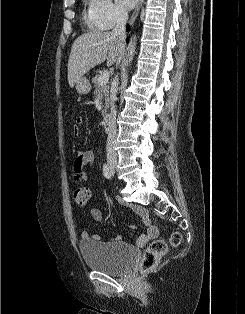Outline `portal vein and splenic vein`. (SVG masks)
Segmentation results:
<instances>
[{
    "instance_id": "1",
    "label": "portal vein and splenic vein",
    "mask_w": 245,
    "mask_h": 314,
    "mask_svg": "<svg viewBox=\"0 0 245 314\" xmlns=\"http://www.w3.org/2000/svg\"><path fill=\"white\" fill-rule=\"evenodd\" d=\"M108 80H109V73L106 71L103 74H101L100 77L98 78V84L104 85L108 82Z\"/></svg>"
}]
</instances>
